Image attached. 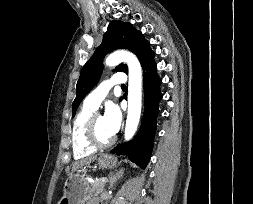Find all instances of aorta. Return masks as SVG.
Returning <instances> with one entry per match:
<instances>
[{"instance_id": "1", "label": "aorta", "mask_w": 253, "mask_h": 204, "mask_svg": "<svg viewBox=\"0 0 253 204\" xmlns=\"http://www.w3.org/2000/svg\"><path fill=\"white\" fill-rule=\"evenodd\" d=\"M121 62L127 63L129 69L128 114L124 136L125 140H130L137 130L141 115L142 69L137 57L125 50L113 52L105 60L107 66H115Z\"/></svg>"}]
</instances>
